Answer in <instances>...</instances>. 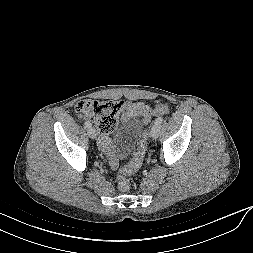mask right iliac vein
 <instances>
[{
  "instance_id": "1",
  "label": "right iliac vein",
  "mask_w": 253,
  "mask_h": 253,
  "mask_svg": "<svg viewBox=\"0 0 253 253\" xmlns=\"http://www.w3.org/2000/svg\"><path fill=\"white\" fill-rule=\"evenodd\" d=\"M88 136L92 139H95L97 137V131L95 128H89L88 129Z\"/></svg>"
}]
</instances>
